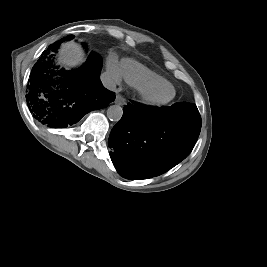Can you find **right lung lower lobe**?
Returning <instances> with one entry per match:
<instances>
[{
  "instance_id": "1",
  "label": "right lung lower lobe",
  "mask_w": 267,
  "mask_h": 267,
  "mask_svg": "<svg viewBox=\"0 0 267 267\" xmlns=\"http://www.w3.org/2000/svg\"><path fill=\"white\" fill-rule=\"evenodd\" d=\"M59 45L49 47L50 51H44L34 65L26 95L33 117L51 128L71 126L115 99V94L101 83L102 58L98 54L91 53L78 69L58 70L50 59L53 54H49L56 52Z\"/></svg>"
}]
</instances>
